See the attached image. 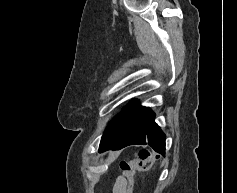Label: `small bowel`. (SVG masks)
<instances>
[{"mask_svg": "<svg viewBox=\"0 0 237 193\" xmlns=\"http://www.w3.org/2000/svg\"><path fill=\"white\" fill-rule=\"evenodd\" d=\"M127 187V181L124 177H117L115 179L113 188H112V193H127L126 190Z\"/></svg>", "mask_w": 237, "mask_h": 193, "instance_id": "small-bowel-1", "label": "small bowel"}]
</instances>
